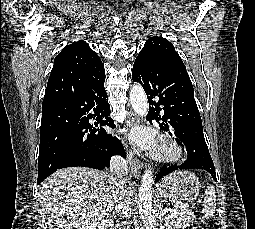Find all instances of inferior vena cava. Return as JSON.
<instances>
[{
	"label": "inferior vena cava",
	"mask_w": 255,
	"mask_h": 229,
	"mask_svg": "<svg viewBox=\"0 0 255 229\" xmlns=\"http://www.w3.org/2000/svg\"><path fill=\"white\" fill-rule=\"evenodd\" d=\"M110 171L117 177L115 192V210L118 216H127L131 211L130 194L126 188L124 177L128 174L126 161L120 155H115L110 160Z\"/></svg>",
	"instance_id": "obj_1"
}]
</instances>
